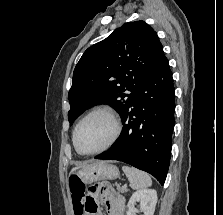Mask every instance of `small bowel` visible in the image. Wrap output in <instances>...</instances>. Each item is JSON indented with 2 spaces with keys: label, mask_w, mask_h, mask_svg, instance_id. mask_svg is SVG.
Masks as SVG:
<instances>
[{
  "label": "small bowel",
  "mask_w": 223,
  "mask_h": 215,
  "mask_svg": "<svg viewBox=\"0 0 223 215\" xmlns=\"http://www.w3.org/2000/svg\"><path fill=\"white\" fill-rule=\"evenodd\" d=\"M86 202L93 207L86 215H101L98 210V202H102L109 215H123L125 199L117 194L106 182L94 184L88 192Z\"/></svg>",
  "instance_id": "c3829d8e"
}]
</instances>
